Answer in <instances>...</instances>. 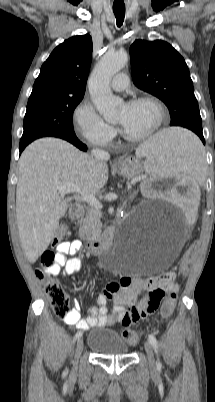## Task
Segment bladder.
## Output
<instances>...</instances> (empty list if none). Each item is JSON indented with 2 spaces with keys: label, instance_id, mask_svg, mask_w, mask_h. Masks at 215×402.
Listing matches in <instances>:
<instances>
[{
  "label": "bladder",
  "instance_id": "1",
  "mask_svg": "<svg viewBox=\"0 0 215 402\" xmlns=\"http://www.w3.org/2000/svg\"><path fill=\"white\" fill-rule=\"evenodd\" d=\"M88 348L103 356H123L129 352L127 342L113 329L96 328L87 338Z\"/></svg>",
  "mask_w": 215,
  "mask_h": 402
}]
</instances>
